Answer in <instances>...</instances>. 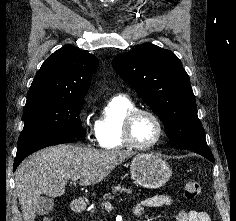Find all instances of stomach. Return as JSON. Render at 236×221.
<instances>
[{
    "label": "stomach",
    "instance_id": "obj_1",
    "mask_svg": "<svg viewBox=\"0 0 236 221\" xmlns=\"http://www.w3.org/2000/svg\"><path fill=\"white\" fill-rule=\"evenodd\" d=\"M130 174L137 185L148 189H156L164 186L169 181L172 169L158 155L142 153L131 160Z\"/></svg>",
    "mask_w": 236,
    "mask_h": 221
}]
</instances>
